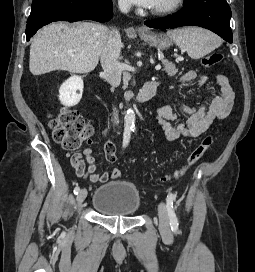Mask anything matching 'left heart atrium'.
Listing matches in <instances>:
<instances>
[{"label": "left heart atrium", "mask_w": 255, "mask_h": 272, "mask_svg": "<svg viewBox=\"0 0 255 272\" xmlns=\"http://www.w3.org/2000/svg\"><path fill=\"white\" fill-rule=\"evenodd\" d=\"M133 4L142 6L145 8H152L156 0H130Z\"/></svg>", "instance_id": "39dd6f15"}]
</instances>
